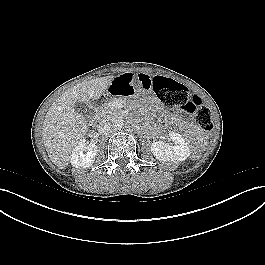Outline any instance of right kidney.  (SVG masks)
Segmentation results:
<instances>
[{"mask_svg":"<svg viewBox=\"0 0 265 265\" xmlns=\"http://www.w3.org/2000/svg\"><path fill=\"white\" fill-rule=\"evenodd\" d=\"M97 151L95 143L87 144L84 138L80 139L70 156V163L75 168H89L95 161Z\"/></svg>","mask_w":265,"mask_h":265,"instance_id":"ca27d5eb","label":"right kidney"}]
</instances>
